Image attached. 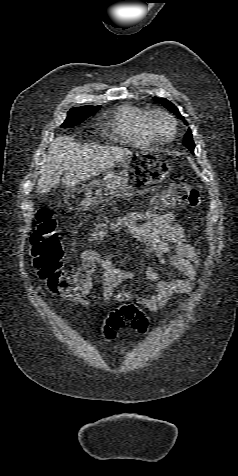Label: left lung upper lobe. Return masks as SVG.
Wrapping results in <instances>:
<instances>
[{"instance_id":"1","label":"left lung upper lobe","mask_w":238,"mask_h":476,"mask_svg":"<svg viewBox=\"0 0 238 476\" xmlns=\"http://www.w3.org/2000/svg\"><path fill=\"white\" fill-rule=\"evenodd\" d=\"M154 98L159 103L164 105L169 111L176 114L180 119H184V117L179 113L178 109L170 101H168L165 98H158V97H154ZM183 144L192 152V154H194L193 152H194L195 144L193 142L191 130H188V132L186 133Z\"/></svg>"}]
</instances>
